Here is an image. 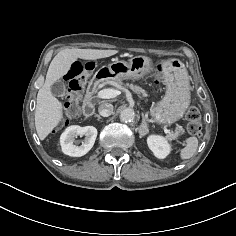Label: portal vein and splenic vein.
<instances>
[{
  "instance_id": "portal-vein-and-splenic-vein-1",
  "label": "portal vein and splenic vein",
  "mask_w": 236,
  "mask_h": 236,
  "mask_svg": "<svg viewBox=\"0 0 236 236\" xmlns=\"http://www.w3.org/2000/svg\"><path fill=\"white\" fill-rule=\"evenodd\" d=\"M119 94V92L117 90L114 89H103L100 90L97 93V97L100 99H109V98H114ZM165 133L169 134V131L167 129H165Z\"/></svg>"
}]
</instances>
